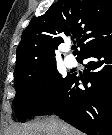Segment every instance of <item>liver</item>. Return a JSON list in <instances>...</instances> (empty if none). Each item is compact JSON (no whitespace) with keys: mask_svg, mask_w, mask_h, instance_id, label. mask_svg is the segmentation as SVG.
<instances>
[{"mask_svg":"<svg viewBox=\"0 0 112 135\" xmlns=\"http://www.w3.org/2000/svg\"><path fill=\"white\" fill-rule=\"evenodd\" d=\"M13 135H81L56 117H46L17 128Z\"/></svg>","mask_w":112,"mask_h":135,"instance_id":"6515ba94","label":"liver"}]
</instances>
